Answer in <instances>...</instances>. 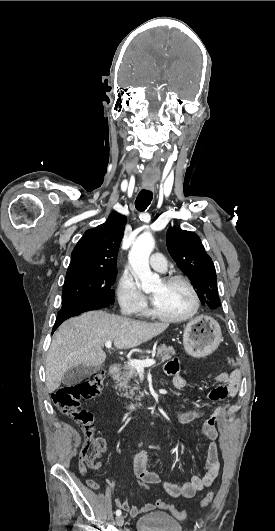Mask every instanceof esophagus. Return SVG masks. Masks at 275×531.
Masks as SVG:
<instances>
[{"mask_svg":"<svg viewBox=\"0 0 275 531\" xmlns=\"http://www.w3.org/2000/svg\"><path fill=\"white\" fill-rule=\"evenodd\" d=\"M143 188L144 189H148L149 191H154L155 190L154 185L143 184Z\"/></svg>","mask_w":275,"mask_h":531,"instance_id":"esophagus-1","label":"esophagus"}]
</instances>
